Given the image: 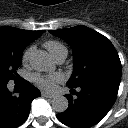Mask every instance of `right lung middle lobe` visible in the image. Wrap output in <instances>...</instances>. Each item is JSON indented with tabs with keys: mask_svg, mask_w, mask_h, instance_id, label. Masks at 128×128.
<instances>
[{
	"mask_svg": "<svg viewBox=\"0 0 128 128\" xmlns=\"http://www.w3.org/2000/svg\"><path fill=\"white\" fill-rule=\"evenodd\" d=\"M24 48L22 46L0 42V83L19 79L16 70L21 65Z\"/></svg>",
	"mask_w": 128,
	"mask_h": 128,
	"instance_id": "dd1d6c3e",
	"label": "right lung middle lobe"
}]
</instances>
